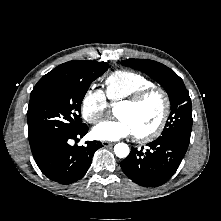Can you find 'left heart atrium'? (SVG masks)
Listing matches in <instances>:
<instances>
[{"label": "left heart atrium", "mask_w": 221, "mask_h": 221, "mask_svg": "<svg viewBox=\"0 0 221 221\" xmlns=\"http://www.w3.org/2000/svg\"><path fill=\"white\" fill-rule=\"evenodd\" d=\"M132 134L134 133L130 124L119 117L116 120L102 122L92 130V136L100 141H117Z\"/></svg>", "instance_id": "obj_1"}]
</instances>
